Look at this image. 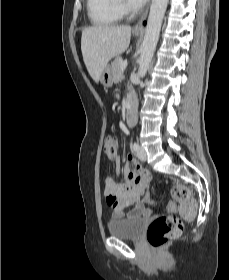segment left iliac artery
Masks as SVG:
<instances>
[{
    "instance_id": "obj_1",
    "label": "left iliac artery",
    "mask_w": 229,
    "mask_h": 280,
    "mask_svg": "<svg viewBox=\"0 0 229 280\" xmlns=\"http://www.w3.org/2000/svg\"><path fill=\"white\" fill-rule=\"evenodd\" d=\"M132 149H133L134 151H138V149H139L138 143L134 142V143L132 144Z\"/></svg>"
}]
</instances>
